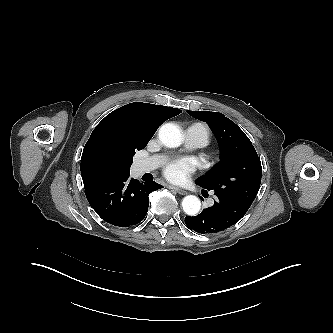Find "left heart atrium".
I'll use <instances>...</instances> for the list:
<instances>
[{
	"label": "left heart atrium",
	"mask_w": 333,
	"mask_h": 333,
	"mask_svg": "<svg viewBox=\"0 0 333 333\" xmlns=\"http://www.w3.org/2000/svg\"><path fill=\"white\" fill-rule=\"evenodd\" d=\"M193 171V165L189 160L182 159L171 162L165 167L164 174L172 182H184Z\"/></svg>",
	"instance_id": "1"
}]
</instances>
